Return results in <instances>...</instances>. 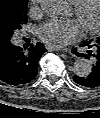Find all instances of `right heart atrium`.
I'll use <instances>...</instances> for the list:
<instances>
[{"label":"right heart atrium","mask_w":100,"mask_h":118,"mask_svg":"<svg viewBox=\"0 0 100 118\" xmlns=\"http://www.w3.org/2000/svg\"><path fill=\"white\" fill-rule=\"evenodd\" d=\"M40 4H41V0H30L29 8L32 15H36L40 13L41 11Z\"/></svg>","instance_id":"right-heart-atrium-1"}]
</instances>
